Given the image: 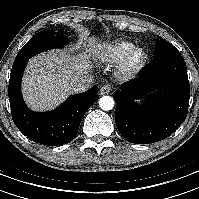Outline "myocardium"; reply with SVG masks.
<instances>
[{
	"label": "myocardium",
	"instance_id": "f54148a6",
	"mask_svg": "<svg viewBox=\"0 0 199 199\" xmlns=\"http://www.w3.org/2000/svg\"><path fill=\"white\" fill-rule=\"evenodd\" d=\"M147 59L145 50L139 46L129 49L117 63L115 75L121 80H128L138 74L144 67Z\"/></svg>",
	"mask_w": 199,
	"mask_h": 199
}]
</instances>
